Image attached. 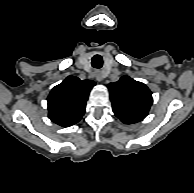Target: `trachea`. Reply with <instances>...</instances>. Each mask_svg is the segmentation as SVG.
I'll return each mask as SVG.
<instances>
[{"mask_svg":"<svg viewBox=\"0 0 194 193\" xmlns=\"http://www.w3.org/2000/svg\"><path fill=\"white\" fill-rule=\"evenodd\" d=\"M92 67L94 68H101L103 66V59L102 56H100L99 54H96L92 57V61H91Z\"/></svg>","mask_w":194,"mask_h":193,"instance_id":"1","label":"trachea"}]
</instances>
